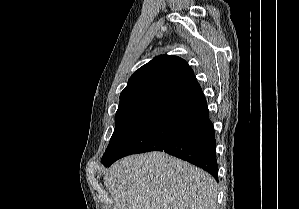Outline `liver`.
Wrapping results in <instances>:
<instances>
[{"label": "liver", "instance_id": "1", "mask_svg": "<svg viewBox=\"0 0 299 209\" xmlns=\"http://www.w3.org/2000/svg\"><path fill=\"white\" fill-rule=\"evenodd\" d=\"M112 209H217V183L207 172L164 152L125 157L106 172Z\"/></svg>", "mask_w": 299, "mask_h": 209}]
</instances>
